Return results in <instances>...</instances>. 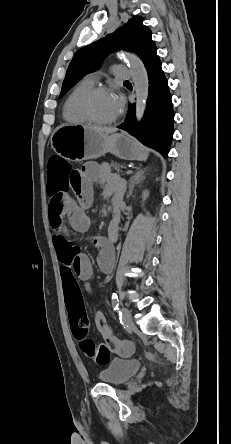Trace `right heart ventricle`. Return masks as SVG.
<instances>
[{
    "label": "right heart ventricle",
    "mask_w": 231,
    "mask_h": 444,
    "mask_svg": "<svg viewBox=\"0 0 231 444\" xmlns=\"http://www.w3.org/2000/svg\"><path fill=\"white\" fill-rule=\"evenodd\" d=\"M93 87L88 79L79 81L67 95L63 104V118L72 124H84L88 122L80 111V102L84 94Z\"/></svg>",
    "instance_id": "1"
}]
</instances>
